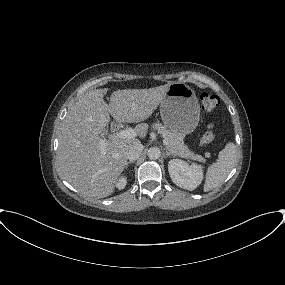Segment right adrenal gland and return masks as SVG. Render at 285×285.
Returning a JSON list of instances; mask_svg holds the SVG:
<instances>
[{"label":"right adrenal gland","instance_id":"obj_1","mask_svg":"<svg viewBox=\"0 0 285 285\" xmlns=\"http://www.w3.org/2000/svg\"><path fill=\"white\" fill-rule=\"evenodd\" d=\"M131 163H134V161L127 162L125 167L128 168L129 164H131Z\"/></svg>","mask_w":285,"mask_h":285}]
</instances>
